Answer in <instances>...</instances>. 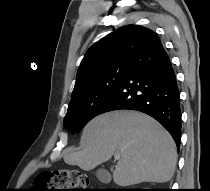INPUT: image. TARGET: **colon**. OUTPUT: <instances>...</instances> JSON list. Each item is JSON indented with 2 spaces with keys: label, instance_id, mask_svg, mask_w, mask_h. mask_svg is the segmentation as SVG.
Wrapping results in <instances>:
<instances>
[{
  "label": "colon",
  "instance_id": "1",
  "mask_svg": "<svg viewBox=\"0 0 210 191\" xmlns=\"http://www.w3.org/2000/svg\"><path fill=\"white\" fill-rule=\"evenodd\" d=\"M37 191H88L89 179L77 170L46 172L36 179Z\"/></svg>",
  "mask_w": 210,
  "mask_h": 191
}]
</instances>
